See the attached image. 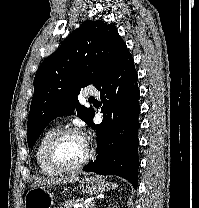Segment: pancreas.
Segmentation results:
<instances>
[{
    "label": "pancreas",
    "mask_w": 199,
    "mask_h": 208,
    "mask_svg": "<svg viewBox=\"0 0 199 208\" xmlns=\"http://www.w3.org/2000/svg\"><path fill=\"white\" fill-rule=\"evenodd\" d=\"M76 203H77V201H75V200H68L63 203L64 207H61V208H75Z\"/></svg>",
    "instance_id": "pancreas-1"
}]
</instances>
